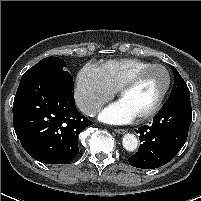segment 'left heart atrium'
I'll list each match as a JSON object with an SVG mask.
<instances>
[{"label":"left heart atrium","mask_w":201,"mask_h":201,"mask_svg":"<svg viewBox=\"0 0 201 201\" xmlns=\"http://www.w3.org/2000/svg\"><path fill=\"white\" fill-rule=\"evenodd\" d=\"M134 118V114L121 101L108 106L100 114V119L110 124H125Z\"/></svg>","instance_id":"left-heart-atrium-1"}]
</instances>
